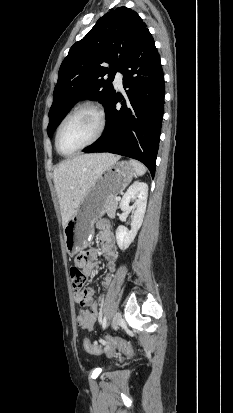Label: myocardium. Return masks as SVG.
Listing matches in <instances>:
<instances>
[{
	"label": "myocardium",
	"mask_w": 233,
	"mask_h": 413,
	"mask_svg": "<svg viewBox=\"0 0 233 413\" xmlns=\"http://www.w3.org/2000/svg\"><path fill=\"white\" fill-rule=\"evenodd\" d=\"M83 110H91V111H93V112L97 115V117H98V119H99V127H98V130H97L95 136H94L89 142H87V143L84 144L83 146L79 147L78 149L74 150L73 152L65 153V152H63V151L61 150V148H60V143H59L61 131H62L63 127L65 126V124H66L74 115H76L78 112L83 111ZM105 128H106V116H105V112H104V110H103L98 104L90 103V102L80 104V105H78L77 107H75V108L62 120V122L60 123V125H59V127H58V129H57V132H56V136H55L56 149H57V151H58L61 155H63V156H72V155H75V154H77L78 152L84 150L85 148H87V147L91 146L92 144H94L95 142H97V141L102 137V135H103V133H104V131H105Z\"/></svg>",
	"instance_id": "f54148a6"
}]
</instances>
